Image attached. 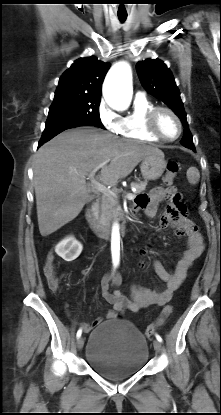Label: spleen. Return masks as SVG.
<instances>
[{
    "label": "spleen",
    "mask_w": 221,
    "mask_h": 415,
    "mask_svg": "<svg viewBox=\"0 0 221 415\" xmlns=\"http://www.w3.org/2000/svg\"><path fill=\"white\" fill-rule=\"evenodd\" d=\"M187 179L190 184L196 185L200 179V173L197 168L190 167L187 171Z\"/></svg>",
    "instance_id": "spleen-1"
}]
</instances>
